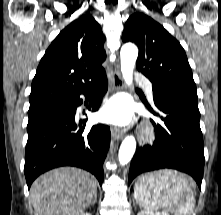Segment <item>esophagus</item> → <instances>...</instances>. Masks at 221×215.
<instances>
[{"label": "esophagus", "mask_w": 221, "mask_h": 215, "mask_svg": "<svg viewBox=\"0 0 221 215\" xmlns=\"http://www.w3.org/2000/svg\"><path fill=\"white\" fill-rule=\"evenodd\" d=\"M111 81L113 85V90L119 91L123 89V80H122L121 72L119 69L114 70L111 76ZM111 132H112V137L114 138V140H120L124 136V132H122L119 128H116V127L113 128Z\"/></svg>", "instance_id": "1"}]
</instances>
